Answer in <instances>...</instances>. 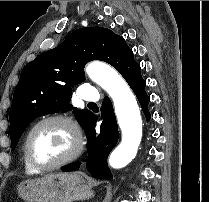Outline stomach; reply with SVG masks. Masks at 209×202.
<instances>
[{"label":"stomach","mask_w":209,"mask_h":202,"mask_svg":"<svg viewBox=\"0 0 209 202\" xmlns=\"http://www.w3.org/2000/svg\"><path fill=\"white\" fill-rule=\"evenodd\" d=\"M17 192L26 202H73L94 195L92 185L78 173L48 174L25 180L18 185Z\"/></svg>","instance_id":"obj_1"}]
</instances>
